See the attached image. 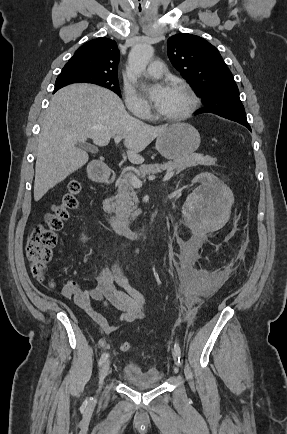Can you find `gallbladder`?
Returning <instances> with one entry per match:
<instances>
[{
    "label": "gallbladder",
    "mask_w": 287,
    "mask_h": 434,
    "mask_svg": "<svg viewBox=\"0 0 287 434\" xmlns=\"http://www.w3.org/2000/svg\"><path fill=\"white\" fill-rule=\"evenodd\" d=\"M79 147H81L82 149H88V150H91V151L95 150L92 146H90V145H88L87 143H84V142H80L79 143Z\"/></svg>",
    "instance_id": "1"
}]
</instances>
